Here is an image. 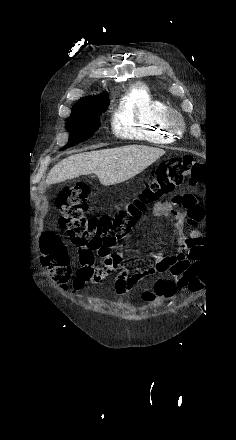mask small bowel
<instances>
[{
  "mask_svg": "<svg viewBox=\"0 0 236 440\" xmlns=\"http://www.w3.org/2000/svg\"><path fill=\"white\" fill-rule=\"evenodd\" d=\"M153 214L157 217L173 221V232L177 250L172 253H156L153 263L135 273H131L123 265L120 252H112L107 248L97 250L87 246H77L80 268L77 270L73 281V292H78L86 283L97 284L102 279L116 274L114 288L119 296L134 291L139 283L146 277L159 273H169L173 278L175 287L190 286L194 281L202 285V263L195 245L198 234L195 231L187 232L186 221H199L203 216V209L197 205L196 197L191 194L176 195L170 202L158 201L152 206ZM64 260L68 261L69 253L66 247L61 248ZM96 254L103 260L99 267H95ZM143 294L146 301H153L155 295L151 292L149 297Z\"/></svg>",
  "mask_w": 236,
  "mask_h": 440,
  "instance_id": "small-bowel-1",
  "label": "small bowel"
}]
</instances>
